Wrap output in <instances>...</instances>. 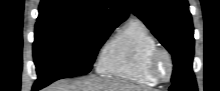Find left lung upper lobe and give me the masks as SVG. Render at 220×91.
Returning <instances> with one entry per match:
<instances>
[{"mask_svg":"<svg viewBox=\"0 0 220 91\" xmlns=\"http://www.w3.org/2000/svg\"><path fill=\"white\" fill-rule=\"evenodd\" d=\"M155 37L171 53L174 70L170 91H197L192 71L193 24L187 0H126Z\"/></svg>","mask_w":220,"mask_h":91,"instance_id":"5c2ea615","label":"left lung upper lobe"}]
</instances>
